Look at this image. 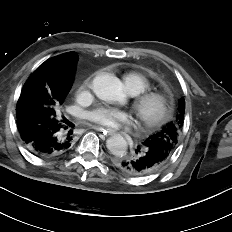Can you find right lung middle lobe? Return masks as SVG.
<instances>
[{"mask_svg": "<svg viewBox=\"0 0 232 232\" xmlns=\"http://www.w3.org/2000/svg\"><path fill=\"white\" fill-rule=\"evenodd\" d=\"M70 86L67 77L50 74L47 70L29 77L16 109L17 118L25 125V132L38 126L52 129L66 122L60 117V109Z\"/></svg>", "mask_w": 232, "mask_h": 232, "instance_id": "right-lung-middle-lobe-1", "label": "right lung middle lobe"}]
</instances>
